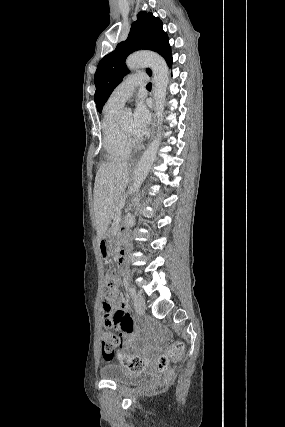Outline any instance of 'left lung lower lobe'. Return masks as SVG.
Listing matches in <instances>:
<instances>
[{
    "label": "left lung lower lobe",
    "instance_id": "1",
    "mask_svg": "<svg viewBox=\"0 0 285 427\" xmlns=\"http://www.w3.org/2000/svg\"><path fill=\"white\" fill-rule=\"evenodd\" d=\"M167 64L169 65V67L171 66V64H172V58L167 62Z\"/></svg>",
    "mask_w": 285,
    "mask_h": 427
}]
</instances>
